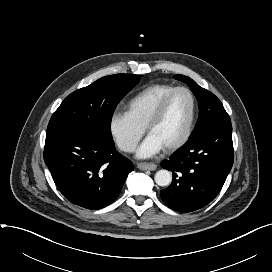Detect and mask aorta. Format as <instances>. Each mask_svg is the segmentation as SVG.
Listing matches in <instances>:
<instances>
[{
	"instance_id": "762f6f07",
	"label": "aorta",
	"mask_w": 272,
	"mask_h": 272,
	"mask_svg": "<svg viewBox=\"0 0 272 272\" xmlns=\"http://www.w3.org/2000/svg\"><path fill=\"white\" fill-rule=\"evenodd\" d=\"M154 180L159 186H167L172 181V175L168 170L162 169L156 172Z\"/></svg>"
}]
</instances>
